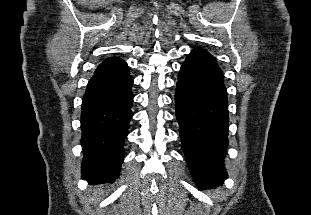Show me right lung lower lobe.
<instances>
[{"label": "right lung lower lobe", "instance_id": "98d812e1", "mask_svg": "<svg viewBox=\"0 0 311 215\" xmlns=\"http://www.w3.org/2000/svg\"><path fill=\"white\" fill-rule=\"evenodd\" d=\"M133 77L122 60L102 62L89 80L82 99V178L113 182L124 157L133 102Z\"/></svg>", "mask_w": 311, "mask_h": 215}]
</instances>
